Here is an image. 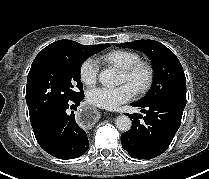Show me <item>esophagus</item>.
Wrapping results in <instances>:
<instances>
[{
  "mask_svg": "<svg viewBox=\"0 0 209 179\" xmlns=\"http://www.w3.org/2000/svg\"><path fill=\"white\" fill-rule=\"evenodd\" d=\"M75 119L81 127L89 128L97 122L98 114L92 106H81L76 111Z\"/></svg>",
  "mask_w": 209,
  "mask_h": 179,
  "instance_id": "obj_1",
  "label": "esophagus"
}]
</instances>
